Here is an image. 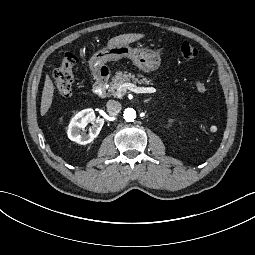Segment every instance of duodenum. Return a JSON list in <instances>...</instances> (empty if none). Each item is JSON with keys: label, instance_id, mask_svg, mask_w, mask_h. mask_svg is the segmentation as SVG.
Returning <instances> with one entry per match:
<instances>
[{"label": "duodenum", "instance_id": "duodenum-1", "mask_svg": "<svg viewBox=\"0 0 255 255\" xmlns=\"http://www.w3.org/2000/svg\"><path fill=\"white\" fill-rule=\"evenodd\" d=\"M108 79L109 73L107 69L100 68L95 72L94 91L98 96H105L107 91Z\"/></svg>", "mask_w": 255, "mask_h": 255}]
</instances>
